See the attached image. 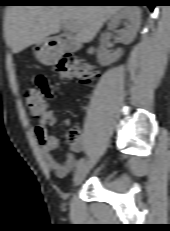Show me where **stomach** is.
Listing matches in <instances>:
<instances>
[{"label": "stomach", "mask_w": 170, "mask_h": 231, "mask_svg": "<svg viewBox=\"0 0 170 231\" xmlns=\"http://www.w3.org/2000/svg\"><path fill=\"white\" fill-rule=\"evenodd\" d=\"M37 59L43 63H51L54 59L50 49L47 47L46 41L39 43V50L35 52Z\"/></svg>", "instance_id": "0dacf381"}]
</instances>
